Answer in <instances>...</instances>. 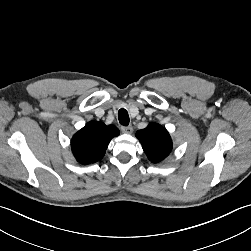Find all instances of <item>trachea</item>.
Masks as SVG:
<instances>
[{"label": "trachea", "mask_w": 251, "mask_h": 251, "mask_svg": "<svg viewBox=\"0 0 251 251\" xmlns=\"http://www.w3.org/2000/svg\"><path fill=\"white\" fill-rule=\"evenodd\" d=\"M118 119L121 125L123 126L129 125V115L126 109L122 108L118 111Z\"/></svg>", "instance_id": "1"}]
</instances>
